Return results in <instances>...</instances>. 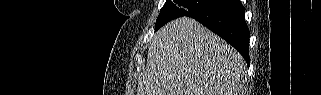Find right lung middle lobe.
<instances>
[{"label":"right lung middle lobe","instance_id":"right-lung-middle-lobe-1","mask_svg":"<svg viewBox=\"0 0 321 95\" xmlns=\"http://www.w3.org/2000/svg\"><path fill=\"white\" fill-rule=\"evenodd\" d=\"M211 0H166L156 20L155 31L167 22L182 16H187L202 8Z\"/></svg>","mask_w":321,"mask_h":95}]
</instances>
